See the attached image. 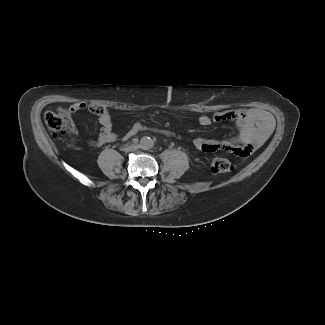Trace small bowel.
I'll use <instances>...</instances> for the list:
<instances>
[{"instance_id":"obj_1","label":"small bowel","mask_w":325,"mask_h":325,"mask_svg":"<svg viewBox=\"0 0 325 325\" xmlns=\"http://www.w3.org/2000/svg\"><path fill=\"white\" fill-rule=\"evenodd\" d=\"M62 111L70 119L76 113L82 111H89L98 117L101 132L95 140L89 142L91 146L99 147L119 140L127 141L144 130V126L140 122H136L120 137L114 131V124L109 110L100 105H88L79 102ZM221 121H234L238 129L237 135L222 140L197 137L193 140V144L197 149L204 152L227 151L238 156H248L266 142L274 127L272 116L259 108L228 110L216 113L213 116L201 115L198 119L201 126H209L213 122ZM70 126L74 131V126Z\"/></svg>"}]
</instances>
